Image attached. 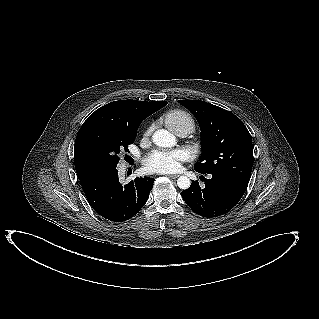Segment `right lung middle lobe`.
Listing matches in <instances>:
<instances>
[{
    "label": "right lung middle lobe",
    "instance_id": "1",
    "mask_svg": "<svg viewBox=\"0 0 319 319\" xmlns=\"http://www.w3.org/2000/svg\"><path fill=\"white\" fill-rule=\"evenodd\" d=\"M135 135L124 129L105 125L87 124L79 129L75 145V167L101 171L117 167L121 149L128 151Z\"/></svg>",
    "mask_w": 319,
    "mask_h": 319
}]
</instances>
